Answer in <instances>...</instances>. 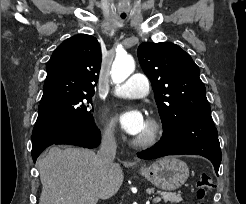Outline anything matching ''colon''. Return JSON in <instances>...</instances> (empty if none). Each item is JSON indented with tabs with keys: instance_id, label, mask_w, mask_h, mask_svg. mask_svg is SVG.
<instances>
[{
	"instance_id": "1",
	"label": "colon",
	"mask_w": 246,
	"mask_h": 204,
	"mask_svg": "<svg viewBox=\"0 0 246 204\" xmlns=\"http://www.w3.org/2000/svg\"><path fill=\"white\" fill-rule=\"evenodd\" d=\"M196 188H197V198L200 202V204H205V198L207 195L214 190L215 184L213 182V179L207 175V174H202L197 180L196 183Z\"/></svg>"
}]
</instances>
